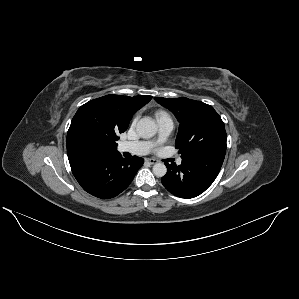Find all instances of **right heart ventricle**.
<instances>
[{"mask_svg":"<svg viewBox=\"0 0 299 299\" xmlns=\"http://www.w3.org/2000/svg\"><path fill=\"white\" fill-rule=\"evenodd\" d=\"M165 116H169V115L164 111L159 110V111L156 112L157 120H159L160 118L165 117Z\"/></svg>","mask_w":299,"mask_h":299,"instance_id":"obj_1","label":"right heart ventricle"}]
</instances>
